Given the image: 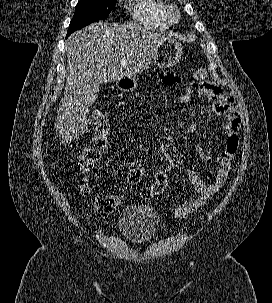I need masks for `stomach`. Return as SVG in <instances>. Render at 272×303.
<instances>
[{"instance_id":"0dacf381","label":"stomach","mask_w":272,"mask_h":303,"mask_svg":"<svg viewBox=\"0 0 272 303\" xmlns=\"http://www.w3.org/2000/svg\"><path fill=\"white\" fill-rule=\"evenodd\" d=\"M182 45L169 39L163 42L159 48L154 63L159 68H168L176 65L182 57ZM136 78L127 77L117 81V87L123 91L133 90L136 87Z\"/></svg>"}]
</instances>
